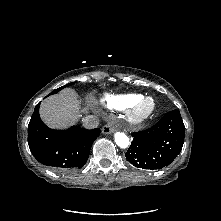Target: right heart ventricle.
Segmentation results:
<instances>
[{
  "label": "right heart ventricle",
  "mask_w": 221,
  "mask_h": 221,
  "mask_svg": "<svg viewBox=\"0 0 221 221\" xmlns=\"http://www.w3.org/2000/svg\"><path fill=\"white\" fill-rule=\"evenodd\" d=\"M143 97L141 94H107L102 99V103L110 109L124 110L137 99Z\"/></svg>",
  "instance_id": "1"
}]
</instances>
